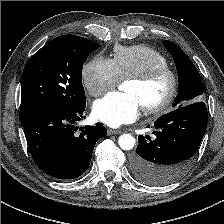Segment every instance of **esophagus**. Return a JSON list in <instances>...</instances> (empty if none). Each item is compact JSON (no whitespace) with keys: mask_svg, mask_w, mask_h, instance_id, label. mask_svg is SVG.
<instances>
[{"mask_svg":"<svg viewBox=\"0 0 224 224\" xmlns=\"http://www.w3.org/2000/svg\"><path fill=\"white\" fill-rule=\"evenodd\" d=\"M121 132L118 130H114V129H108V135H116V134H120Z\"/></svg>","mask_w":224,"mask_h":224,"instance_id":"esophagus-1","label":"esophagus"}]
</instances>
